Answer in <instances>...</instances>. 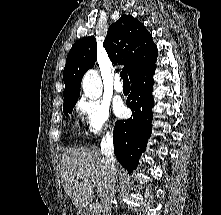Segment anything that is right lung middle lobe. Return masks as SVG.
I'll return each instance as SVG.
<instances>
[{
	"instance_id": "dd1d6c3e",
	"label": "right lung middle lobe",
	"mask_w": 221,
	"mask_h": 215,
	"mask_svg": "<svg viewBox=\"0 0 221 215\" xmlns=\"http://www.w3.org/2000/svg\"><path fill=\"white\" fill-rule=\"evenodd\" d=\"M76 102L77 101H69L63 104V111L66 116H68V113H72L73 107L75 106Z\"/></svg>"
}]
</instances>
